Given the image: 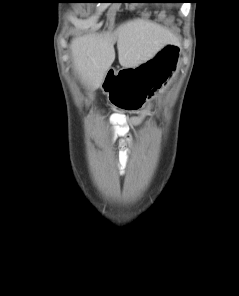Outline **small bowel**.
Returning <instances> with one entry per match:
<instances>
[{"label":"small bowel","mask_w":239,"mask_h":296,"mask_svg":"<svg viewBox=\"0 0 239 296\" xmlns=\"http://www.w3.org/2000/svg\"><path fill=\"white\" fill-rule=\"evenodd\" d=\"M149 111H150L149 107L144 109L139 116L133 117L131 119V123L134 125L139 124L148 115ZM111 120L119 124L123 129L126 126L127 118L122 113H116L112 115ZM128 143H129V139H120L121 154L119 156L118 167L121 173H123L124 168L128 162V154H129Z\"/></svg>","instance_id":"small-bowel-1"}]
</instances>
